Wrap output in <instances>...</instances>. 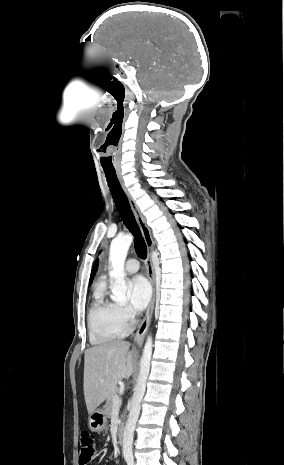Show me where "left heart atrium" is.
Masks as SVG:
<instances>
[{"instance_id":"39dd6f15","label":"left heart atrium","mask_w":284,"mask_h":465,"mask_svg":"<svg viewBox=\"0 0 284 465\" xmlns=\"http://www.w3.org/2000/svg\"><path fill=\"white\" fill-rule=\"evenodd\" d=\"M130 302L129 308L133 313L143 311L150 300L151 290L149 283L143 276H135L129 280Z\"/></svg>"}]
</instances>
